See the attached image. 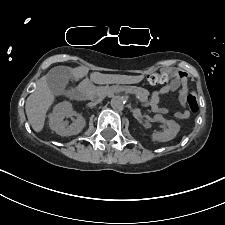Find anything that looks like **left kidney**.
<instances>
[{"label": "left kidney", "instance_id": "obj_1", "mask_svg": "<svg viewBox=\"0 0 225 225\" xmlns=\"http://www.w3.org/2000/svg\"><path fill=\"white\" fill-rule=\"evenodd\" d=\"M154 120L155 121H159V122L166 123V125L168 127L163 132L153 133L152 134V139L154 141H159V142L170 141L173 138H175V136L177 135V133L180 131V125L178 123H176L173 120H165L164 117L162 115H160V114H156L154 116Z\"/></svg>", "mask_w": 225, "mask_h": 225}]
</instances>
